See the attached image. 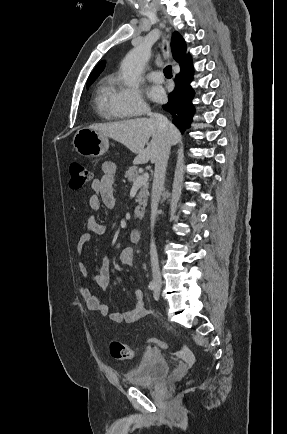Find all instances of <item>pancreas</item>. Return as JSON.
Instances as JSON below:
<instances>
[{
    "instance_id": "cf45deb5",
    "label": "pancreas",
    "mask_w": 287,
    "mask_h": 434,
    "mask_svg": "<svg viewBox=\"0 0 287 434\" xmlns=\"http://www.w3.org/2000/svg\"><path fill=\"white\" fill-rule=\"evenodd\" d=\"M140 176V172L138 170V167L133 166L130 167L126 172H125V178L128 179L129 182H134L138 177ZM148 183L144 184L140 191L139 194L137 196V203L139 204L136 208H135V218H142L144 215V208L147 205V201H148V195H149V191H148Z\"/></svg>"
}]
</instances>
